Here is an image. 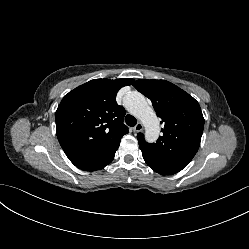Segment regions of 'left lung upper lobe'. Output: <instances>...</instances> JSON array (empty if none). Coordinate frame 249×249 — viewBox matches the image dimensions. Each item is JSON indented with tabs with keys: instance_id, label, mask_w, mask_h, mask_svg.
<instances>
[{
	"instance_id": "left-lung-upper-lobe-1",
	"label": "left lung upper lobe",
	"mask_w": 249,
	"mask_h": 249,
	"mask_svg": "<svg viewBox=\"0 0 249 249\" xmlns=\"http://www.w3.org/2000/svg\"><path fill=\"white\" fill-rule=\"evenodd\" d=\"M132 85L153 104L162 119V136L147 143L139 133L143 154L152 158L187 165L200 146L204 118L198 102L188 93L166 80H137Z\"/></svg>"
}]
</instances>
